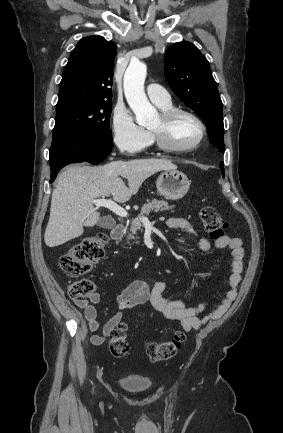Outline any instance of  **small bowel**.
<instances>
[{
  "instance_id": "obj_1",
  "label": "small bowel",
  "mask_w": 283,
  "mask_h": 433,
  "mask_svg": "<svg viewBox=\"0 0 283 433\" xmlns=\"http://www.w3.org/2000/svg\"><path fill=\"white\" fill-rule=\"evenodd\" d=\"M167 225L173 230L194 236L201 251L210 250L211 242L206 237L198 235L188 220L172 217L167 220ZM214 246L218 249L228 248L231 250L232 271L229 276V290L226 296L212 313L204 317L200 315L208 305L206 302L196 306H188L182 300H169L164 297L168 286L166 281H157L153 285H149L143 280L132 281L116 295V312L99 332L100 325L95 308V305L101 299L99 292H92L88 296V299H74L77 308L82 310L83 317L76 315L74 312L70 316L75 318L80 324H86L89 330L95 333L91 338L94 345H101L108 338L111 332L122 321L124 311L146 303H149L165 318L180 322L184 331L198 330L206 322L219 319L227 312L237 297L238 287L242 278L245 256L242 240L236 237L223 236L214 242Z\"/></svg>"
}]
</instances>
